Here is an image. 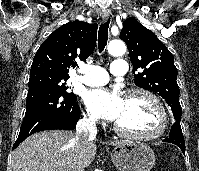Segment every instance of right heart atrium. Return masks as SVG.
Returning <instances> with one entry per match:
<instances>
[{"label":"right heart atrium","instance_id":"1","mask_svg":"<svg viewBox=\"0 0 199 171\" xmlns=\"http://www.w3.org/2000/svg\"><path fill=\"white\" fill-rule=\"evenodd\" d=\"M85 119H86V121L87 122H89L90 124H95L96 123V117L94 116V115H92V114H87L86 116H85Z\"/></svg>","mask_w":199,"mask_h":171}]
</instances>
